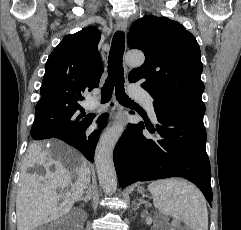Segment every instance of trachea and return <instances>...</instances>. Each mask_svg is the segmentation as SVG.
Masks as SVG:
<instances>
[{
    "label": "trachea",
    "instance_id": "1",
    "mask_svg": "<svg viewBox=\"0 0 241 230\" xmlns=\"http://www.w3.org/2000/svg\"><path fill=\"white\" fill-rule=\"evenodd\" d=\"M125 49V36L123 31H117L112 39L111 50L108 57V78L101 88V101L108 102L111 99L115 87V95L119 103L135 104L125 93L124 69L122 58Z\"/></svg>",
    "mask_w": 241,
    "mask_h": 230
}]
</instances>
